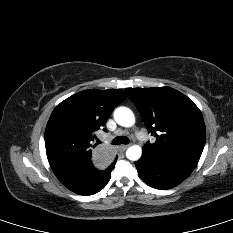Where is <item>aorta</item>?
I'll return each instance as SVG.
<instances>
[{
    "label": "aorta",
    "mask_w": 233,
    "mask_h": 233,
    "mask_svg": "<svg viewBox=\"0 0 233 233\" xmlns=\"http://www.w3.org/2000/svg\"><path fill=\"white\" fill-rule=\"evenodd\" d=\"M115 121L123 127H131L135 123V116L133 112L127 107H118L114 111ZM142 155V149L138 145L129 147L126 151V157L131 161L140 159Z\"/></svg>",
    "instance_id": "obj_1"
}]
</instances>
